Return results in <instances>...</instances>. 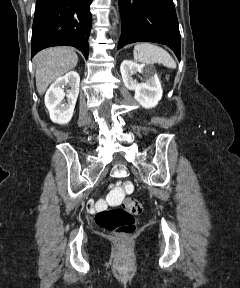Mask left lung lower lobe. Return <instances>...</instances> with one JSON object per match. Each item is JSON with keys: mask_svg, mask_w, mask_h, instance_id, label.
I'll return each instance as SVG.
<instances>
[{"mask_svg": "<svg viewBox=\"0 0 240 288\" xmlns=\"http://www.w3.org/2000/svg\"><path fill=\"white\" fill-rule=\"evenodd\" d=\"M121 37L118 49L134 42L167 45L180 60V33L172 0H119Z\"/></svg>", "mask_w": 240, "mask_h": 288, "instance_id": "1", "label": "left lung lower lobe"}]
</instances>
